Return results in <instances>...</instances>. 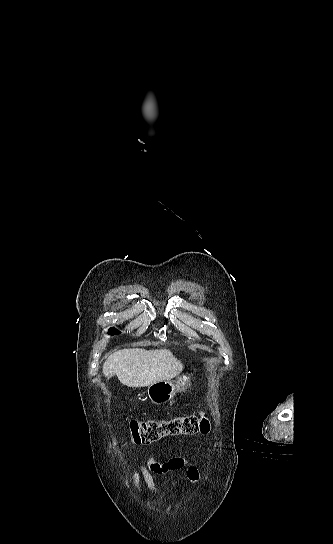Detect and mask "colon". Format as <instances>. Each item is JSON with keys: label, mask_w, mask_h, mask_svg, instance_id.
Wrapping results in <instances>:
<instances>
[{"label": "colon", "mask_w": 333, "mask_h": 544, "mask_svg": "<svg viewBox=\"0 0 333 544\" xmlns=\"http://www.w3.org/2000/svg\"><path fill=\"white\" fill-rule=\"evenodd\" d=\"M210 428V421L199 416L135 420L129 425L130 440L134 445H148L169 436L205 434Z\"/></svg>", "instance_id": "colon-1"}]
</instances>
